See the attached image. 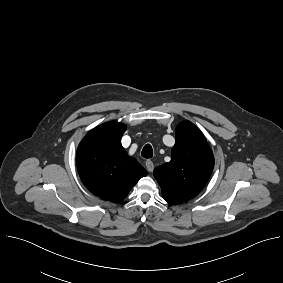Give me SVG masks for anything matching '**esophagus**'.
Returning a JSON list of instances; mask_svg holds the SVG:
<instances>
[{
  "label": "esophagus",
  "instance_id": "obj_1",
  "mask_svg": "<svg viewBox=\"0 0 283 283\" xmlns=\"http://www.w3.org/2000/svg\"><path fill=\"white\" fill-rule=\"evenodd\" d=\"M146 168L149 172H152L154 169V163L151 160L145 162Z\"/></svg>",
  "mask_w": 283,
  "mask_h": 283
}]
</instances>
